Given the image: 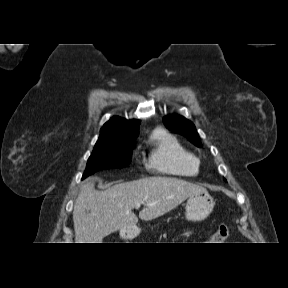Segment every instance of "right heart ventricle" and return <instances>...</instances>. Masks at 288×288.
<instances>
[{
  "label": "right heart ventricle",
  "mask_w": 288,
  "mask_h": 288,
  "mask_svg": "<svg viewBox=\"0 0 288 288\" xmlns=\"http://www.w3.org/2000/svg\"><path fill=\"white\" fill-rule=\"evenodd\" d=\"M150 143L148 166L151 169L180 177H195L200 173V160L196 154L166 130H155Z\"/></svg>",
  "instance_id": "obj_1"
}]
</instances>
